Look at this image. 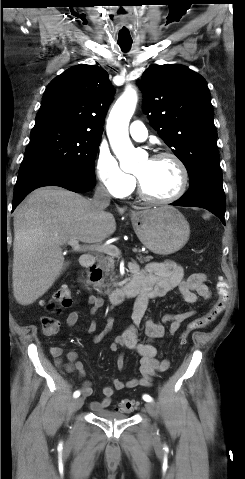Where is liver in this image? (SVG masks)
I'll return each mask as SVG.
<instances>
[{
	"label": "liver",
	"mask_w": 245,
	"mask_h": 479,
	"mask_svg": "<svg viewBox=\"0 0 245 479\" xmlns=\"http://www.w3.org/2000/svg\"><path fill=\"white\" fill-rule=\"evenodd\" d=\"M115 230L114 216L93 200L60 187L33 191L14 213L16 301L30 305L50 289L67 264L62 247L69 240L100 243Z\"/></svg>",
	"instance_id": "liver-1"
}]
</instances>
